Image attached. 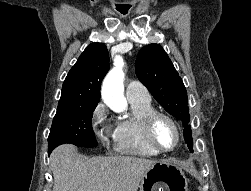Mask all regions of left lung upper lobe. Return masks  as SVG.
I'll list each match as a JSON object with an SVG mask.
<instances>
[{
    "instance_id": "1",
    "label": "left lung upper lobe",
    "mask_w": 251,
    "mask_h": 191,
    "mask_svg": "<svg viewBox=\"0 0 251 191\" xmlns=\"http://www.w3.org/2000/svg\"><path fill=\"white\" fill-rule=\"evenodd\" d=\"M136 75L156 101L171 115L183 121V135L193 152L186 88L167 53L158 44L143 47L135 62Z\"/></svg>"
}]
</instances>
